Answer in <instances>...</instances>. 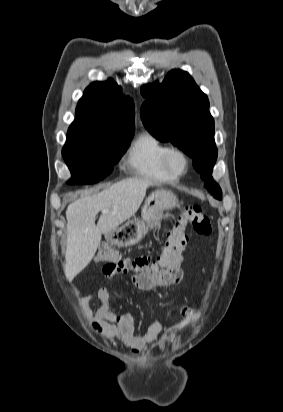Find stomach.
<instances>
[{"instance_id": "1", "label": "stomach", "mask_w": 283, "mask_h": 412, "mask_svg": "<svg viewBox=\"0 0 283 412\" xmlns=\"http://www.w3.org/2000/svg\"><path fill=\"white\" fill-rule=\"evenodd\" d=\"M178 206V199L171 191L157 190L146 200L142 208L141 220H133L125 226L109 233L108 240L117 246L128 247L138 244L148 228L158 227L165 211Z\"/></svg>"}]
</instances>
